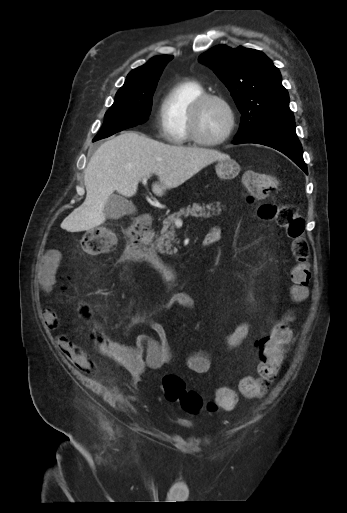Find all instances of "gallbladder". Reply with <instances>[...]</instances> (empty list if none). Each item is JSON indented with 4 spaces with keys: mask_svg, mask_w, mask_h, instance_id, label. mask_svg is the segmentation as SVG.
I'll return each instance as SVG.
<instances>
[{
    "mask_svg": "<svg viewBox=\"0 0 347 513\" xmlns=\"http://www.w3.org/2000/svg\"><path fill=\"white\" fill-rule=\"evenodd\" d=\"M104 211L109 219L118 220L136 211L132 202L119 195H111L105 203Z\"/></svg>",
    "mask_w": 347,
    "mask_h": 513,
    "instance_id": "1",
    "label": "gallbladder"
}]
</instances>
